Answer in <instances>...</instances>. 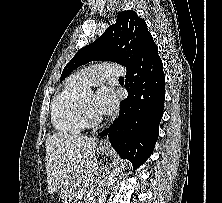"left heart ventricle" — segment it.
Returning a JSON list of instances; mask_svg holds the SVG:
<instances>
[{"mask_svg": "<svg viewBox=\"0 0 222 203\" xmlns=\"http://www.w3.org/2000/svg\"><path fill=\"white\" fill-rule=\"evenodd\" d=\"M84 102L87 110L95 117H100L95 109V97L91 94L84 96Z\"/></svg>", "mask_w": 222, "mask_h": 203, "instance_id": "b2bd125f", "label": "left heart ventricle"}]
</instances>
